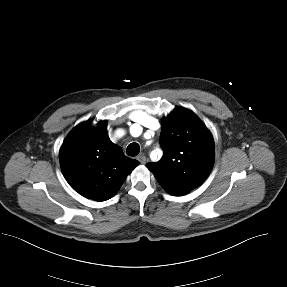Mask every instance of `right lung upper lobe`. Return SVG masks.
<instances>
[{
    "label": "right lung upper lobe",
    "mask_w": 287,
    "mask_h": 287,
    "mask_svg": "<svg viewBox=\"0 0 287 287\" xmlns=\"http://www.w3.org/2000/svg\"><path fill=\"white\" fill-rule=\"evenodd\" d=\"M106 123L79 124L65 138L59 153L61 169L70 186L99 202L113 197L139 164L110 141Z\"/></svg>",
    "instance_id": "obj_1"
}]
</instances>
